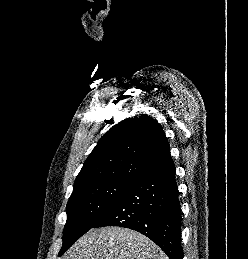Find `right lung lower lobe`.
Here are the masks:
<instances>
[{"instance_id":"obj_1","label":"right lung lower lobe","mask_w":248,"mask_h":259,"mask_svg":"<svg viewBox=\"0 0 248 259\" xmlns=\"http://www.w3.org/2000/svg\"><path fill=\"white\" fill-rule=\"evenodd\" d=\"M175 175L172 163L140 177L93 228L120 226L136 230L155 242L170 259H183Z\"/></svg>"}]
</instances>
